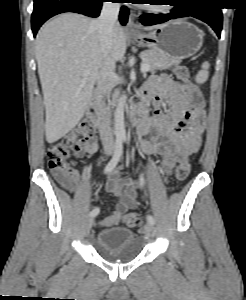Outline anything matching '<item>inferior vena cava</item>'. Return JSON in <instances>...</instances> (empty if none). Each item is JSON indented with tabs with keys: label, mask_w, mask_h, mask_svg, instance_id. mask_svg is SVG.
Returning <instances> with one entry per match:
<instances>
[{
	"label": "inferior vena cava",
	"mask_w": 246,
	"mask_h": 300,
	"mask_svg": "<svg viewBox=\"0 0 246 300\" xmlns=\"http://www.w3.org/2000/svg\"><path fill=\"white\" fill-rule=\"evenodd\" d=\"M120 4L117 2H104L100 16L94 21L98 28L99 41L103 54L107 57L105 67L101 70L97 86L103 97H108L114 87V60L108 54L113 46L114 27L117 24ZM100 138L105 152L111 153L115 148L114 136L110 127L107 108L104 106L99 114Z\"/></svg>",
	"instance_id": "obj_1"
}]
</instances>
